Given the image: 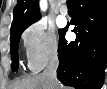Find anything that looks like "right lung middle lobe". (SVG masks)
Returning <instances> with one entry per match:
<instances>
[{
  "label": "right lung middle lobe",
  "mask_w": 107,
  "mask_h": 89,
  "mask_svg": "<svg viewBox=\"0 0 107 89\" xmlns=\"http://www.w3.org/2000/svg\"><path fill=\"white\" fill-rule=\"evenodd\" d=\"M34 22H30L28 24H24L16 28H11L10 48H11V55L13 59V62L11 65L12 69L17 70L18 68V44H19L20 36L22 32Z\"/></svg>",
  "instance_id": "1"
}]
</instances>
